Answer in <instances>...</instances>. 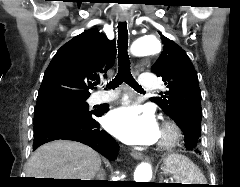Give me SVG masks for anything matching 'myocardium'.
I'll return each mask as SVG.
<instances>
[{"label": "myocardium", "instance_id": "myocardium-1", "mask_svg": "<svg viewBox=\"0 0 240 187\" xmlns=\"http://www.w3.org/2000/svg\"><path fill=\"white\" fill-rule=\"evenodd\" d=\"M181 138V129L173 120H166L162 124L158 146L161 149H169L175 146Z\"/></svg>", "mask_w": 240, "mask_h": 187}]
</instances>
